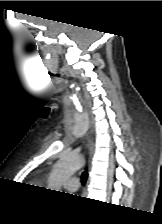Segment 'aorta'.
Here are the masks:
<instances>
[{"mask_svg": "<svg viewBox=\"0 0 162 224\" xmlns=\"http://www.w3.org/2000/svg\"><path fill=\"white\" fill-rule=\"evenodd\" d=\"M83 164L84 158L79 154L71 153L62 156L54 167L49 187L52 190L60 189L62 181L71 177Z\"/></svg>", "mask_w": 162, "mask_h": 224, "instance_id": "762f6f07", "label": "aorta"}]
</instances>
